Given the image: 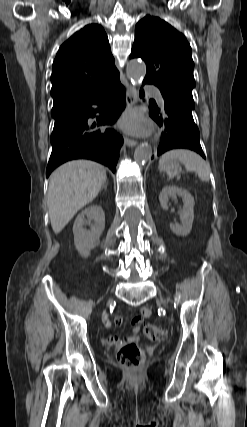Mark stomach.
<instances>
[{
    "label": "stomach",
    "instance_id": "0dacf381",
    "mask_svg": "<svg viewBox=\"0 0 247 427\" xmlns=\"http://www.w3.org/2000/svg\"><path fill=\"white\" fill-rule=\"evenodd\" d=\"M161 171L167 172L169 177H174L178 174L179 165L175 161L168 162L164 166L159 167Z\"/></svg>",
    "mask_w": 247,
    "mask_h": 427
}]
</instances>
